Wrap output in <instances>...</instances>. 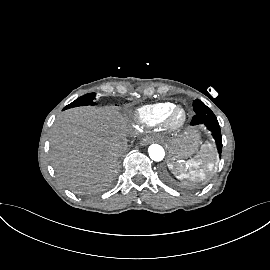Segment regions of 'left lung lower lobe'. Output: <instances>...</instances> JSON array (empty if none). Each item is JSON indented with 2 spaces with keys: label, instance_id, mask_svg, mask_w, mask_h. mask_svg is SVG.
<instances>
[{
  "label": "left lung lower lobe",
  "instance_id": "left-lung-lower-lobe-1",
  "mask_svg": "<svg viewBox=\"0 0 270 270\" xmlns=\"http://www.w3.org/2000/svg\"><path fill=\"white\" fill-rule=\"evenodd\" d=\"M198 124H204L208 128V130L211 131L212 136H213V138L216 141L218 152H219V154L221 156V151H222V136H221L220 126L218 124L217 118L204 120V121H201ZM191 125H197V124H192L191 123Z\"/></svg>",
  "mask_w": 270,
  "mask_h": 270
}]
</instances>
